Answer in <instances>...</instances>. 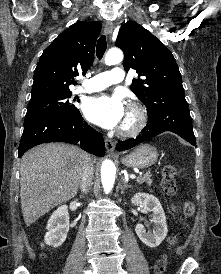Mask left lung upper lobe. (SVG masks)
<instances>
[{
    "instance_id": "obj_1",
    "label": "left lung upper lobe",
    "mask_w": 221,
    "mask_h": 274,
    "mask_svg": "<svg viewBox=\"0 0 221 274\" xmlns=\"http://www.w3.org/2000/svg\"><path fill=\"white\" fill-rule=\"evenodd\" d=\"M115 45L124 52V69H135L130 86L148 114L186 101L182 77L173 54L148 30L134 21L123 24Z\"/></svg>"
}]
</instances>
